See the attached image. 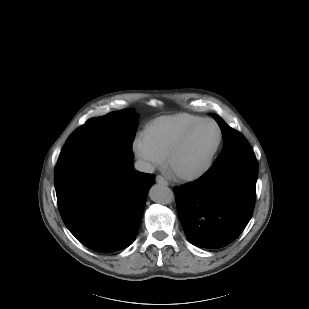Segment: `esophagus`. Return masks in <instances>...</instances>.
Instances as JSON below:
<instances>
[{"instance_id":"esophagus-1","label":"esophagus","mask_w":309,"mask_h":309,"mask_svg":"<svg viewBox=\"0 0 309 309\" xmlns=\"http://www.w3.org/2000/svg\"><path fill=\"white\" fill-rule=\"evenodd\" d=\"M155 181L158 184L168 185V182L166 181V179L163 176H161V175H157L156 178H155Z\"/></svg>"}]
</instances>
